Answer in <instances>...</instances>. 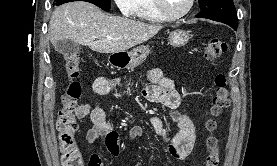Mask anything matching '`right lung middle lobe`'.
I'll list each match as a JSON object with an SVG mask.
<instances>
[{
    "label": "right lung middle lobe",
    "instance_id": "1",
    "mask_svg": "<svg viewBox=\"0 0 277 166\" xmlns=\"http://www.w3.org/2000/svg\"><path fill=\"white\" fill-rule=\"evenodd\" d=\"M71 1H86L90 2L98 7H100L103 10H110L111 5H110V0H56V5H61L67 2Z\"/></svg>",
    "mask_w": 277,
    "mask_h": 166
}]
</instances>
